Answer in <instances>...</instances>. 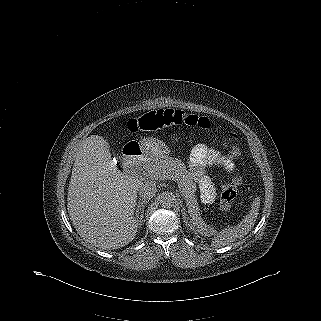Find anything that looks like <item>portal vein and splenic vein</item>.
I'll return each mask as SVG.
<instances>
[{"label": "portal vein and splenic vein", "mask_w": 321, "mask_h": 321, "mask_svg": "<svg viewBox=\"0 0 321 321\" xmlns=\"http://www.w3.org/2000/svg\"><path fill=\"white\" fill-rule=\"evenodd\" d=\"M148 176H150V178H153L156 180H162V179L166 178L165 175L161 176V174L159 172H155V171H148Z\"/></svg>", "instance_id": "18ae733b"}]
</instances>
